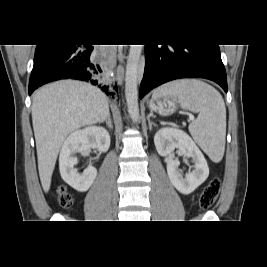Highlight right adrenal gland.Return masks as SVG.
I'll return each instance as SVG.
<instances>
[{"label":"right adrenal gland","instance_id":"obj_1","mask_svg":"<svg viewBox=\"0 0 267 267\" xmlns=\"http://www.w3.org/2000/svg\"><path fill=\"white\" fill-rule=\"evenodd\" d=\"M104 122L106 123L107 127L110 130H113L112 119H111L110 113L108 114L107 119Z\"/></svg>","mask_w":267,"mask_h":267}]
</instances>
